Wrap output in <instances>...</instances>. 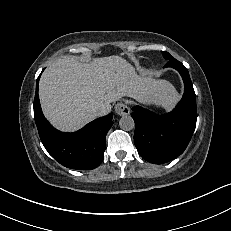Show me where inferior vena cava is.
Instances as JSON below:
<instances>
[{
	"mask_svg": "<svg viewBox=\"0 0 231 231\" xmlns=\"http://www.w3.org/2000/svg\"><path fill=\"white\" fill-rule=\"evenodd\" d=\"M110 112V109L106 106H101L95 110L96 116H104Z\"/></svg>",
	"mask_w": 231,
	"mask_h": 231,
	"instance_id": "1",
	"label": "inferior vena cava"
}]
</instances>
